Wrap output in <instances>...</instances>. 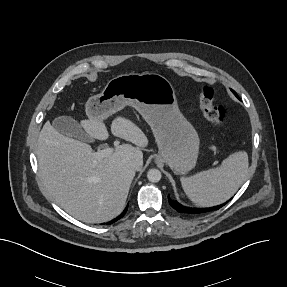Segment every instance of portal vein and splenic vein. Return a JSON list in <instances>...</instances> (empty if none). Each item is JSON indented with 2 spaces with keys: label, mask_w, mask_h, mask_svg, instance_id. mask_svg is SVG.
<instances>
[{
  "label": "portal vein and splenic vein",
  "mask_w": 287,
  "mask_h": 287,
  "mask_svg": "<svg viewBox=\"0 0 287 287\" xmlns=\"http://www.w3.org/2000/svg\"><path fill=\"white\" fill-rule=\"evenodd\" d=\"M114 146L118 147L119 146V141L114 142ZM114 152V148L111 147H104L102 150H98L97 152L94 153V157L96 159H103L104 157H107L111 155Z\"/></svg>",
  "instance_id": "portal-vein-and-splenic-vein-1"
}]
</instances>
